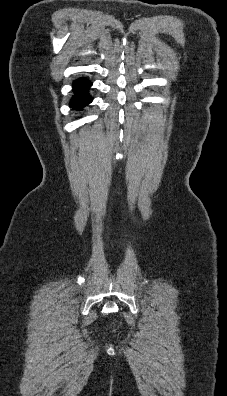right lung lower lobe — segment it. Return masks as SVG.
<instances>
[{
	"mask_svg": "<svg viewBox=\"0 0 227 396\" xmlns=\"http://www.w3.org/2000/svg\"><path fill=\"white\" fill-rule=\"evenodd\" d=\"M91 85V82L84 77L74 81L73 89L75 94L70 101V106L73 109L80 110L92 101L91 96L88 94Z\"/></svg>",
	"mask_w": 227,
	"mask_h": 396,
	"instance_id": "right-lung-lower-lobe-1",
	"label": "right lung lower lobe"
}]
</instances>
